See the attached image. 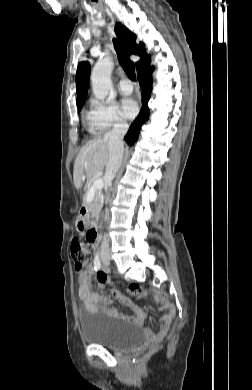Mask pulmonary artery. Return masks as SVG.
Wrapping results in <instances>:
<instances>
[{
    "mask_svg": "<svg viewBox=\"0 0 252 390\" xmlns=\"http://www.w3.org/2000/svg\"><path fill=\"white\" fill-rule=\"evenodd\" d=\"M119 90L123 93V94H130L133 90V86L132 84L127 81V80H121L119 82Z\"/></svg>",
    "mask_w": 252,
    "mask_h": 390,
    "instance_id": "pulmonary-artery-1",
    "label": "pulmonary artery"
}]
</instances>
